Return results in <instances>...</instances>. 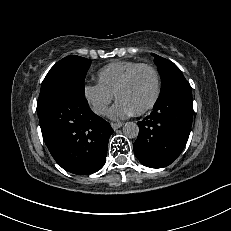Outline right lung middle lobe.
I'll use <instances>...</instances> for the list:
<instances>
[{
	"label": "right lung middle lobe",
	"mask_w": 231,
	"mask_h": 231,
	"mask_svg": "<svg viewBox=\"0 0 231 231\" xmlns=\"http://www.w3.org/2000/svg\"><path fill=\"white\" fill-rule=\"evenodd\" d=\"M91 65L89 59L68 56L56 63L43 80L38 103L62 91L76 92L85 97L84 80Z\"/></svg>",
	"instance_id": "dd1d6c3e"
}]
</instances>
